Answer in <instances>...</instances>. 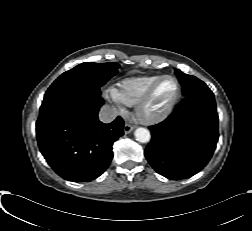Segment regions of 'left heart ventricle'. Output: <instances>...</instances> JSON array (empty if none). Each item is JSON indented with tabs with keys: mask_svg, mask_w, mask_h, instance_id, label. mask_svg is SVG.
<instances>
[{
	"mask_svg": "<svg viewBox=\"0 0 252 231\" xmlns=\"http://www.w3.org/2000/svg\"><path fill=\"white\" fill-rule=\"evenodd\" d=\"M176 93V83L172 79H164L156 89L147 112L155 114L161 112L171 102Z\"/></svg>",
	"mask_w": 252,
	"mask_h": 231,
	"instance_id": "obj_1",
	"label": "left heart ventricle"
}]
</instances>
